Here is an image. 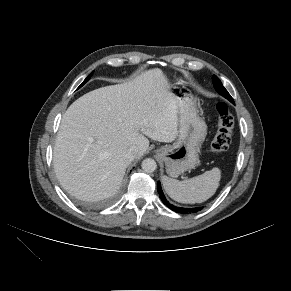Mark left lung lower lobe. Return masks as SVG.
<instances>
[{"label": "left lung lower lobe", "mask_w": 291, "mask_h": 291, "mask_svg": "<svg viewBox=\"0 0 291 291\" xmlns=\"http://www.w3.org/2000/svg\"><path fill=\"white\" fill-rule=\"evenodd\" d=\"M157 189H158V194L160 195V199L162 200V202L168 207L170 208L171 210L177 212V213H181V214H190V213H195V212H198L200 210H202L203 207H195V208H183V207H176L172 204H170L164 194H163V191H162V188H161V184L160 182L157 183Z\"/></svg>", "instance_id": "0a47b994"}]
</instances>
